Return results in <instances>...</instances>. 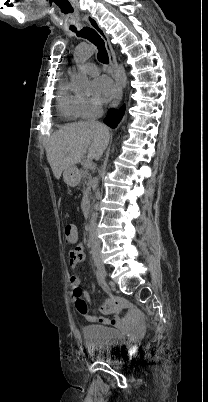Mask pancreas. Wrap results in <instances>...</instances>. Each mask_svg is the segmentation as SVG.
I'll list each match as a JSON object with an SVG mask.
<instances>
[{"label":"pancreas","instance_id":"cf45deb5","mask_svg":"<svg viewBox=\"0 0 208 402\" xmlns=\"http://www.w3.org/2000/svg\"><path fill=\"white\" fill-rule=\"evenodd\" d=\"M79 176L81 178L84 196H91L92 176L89 174V170H81Z\"/></svg>","mask_w":208,"mask_h":402}]
</instances>
